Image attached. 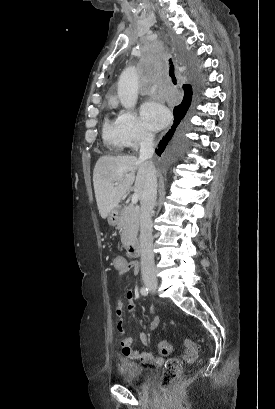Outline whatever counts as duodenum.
Here are the masks:
<instances>
[{
  "label": "duodenum",
  "mask_w": 275,
  "mask_h": 409,
  "mask_svg": "<svg viewBox=\"0 0 275 409\" xmlns=\"http://www.w3.org/2000/svg\"><path fill=\"white\" fill-rule=\"evenodd\" d=\"M128 253L133 258H138L141 255V247L138 241H132L127 247Z\"/></svg>",
  "instance_id": "1"
}]
</instances>
